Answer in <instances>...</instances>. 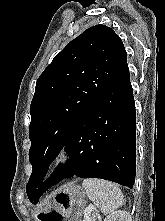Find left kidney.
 <instances>
[{
    "label": "left kidney",
    "instance_id": "left-kidney-1",
    "mask_svg": "<svg viewBox=\"0 0 165 221\" xmlns=\"http://www.w3.org/2000/svg\"><path fill=\"white\" fill-rule=\"evenodd\" d=\"M104 221H132V217L129 212L118 210L107 216Z\"/></svg>",
    "mask_w": 165,
    "mask_h": 221
}]
</instances>
